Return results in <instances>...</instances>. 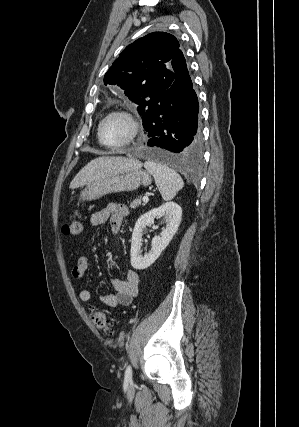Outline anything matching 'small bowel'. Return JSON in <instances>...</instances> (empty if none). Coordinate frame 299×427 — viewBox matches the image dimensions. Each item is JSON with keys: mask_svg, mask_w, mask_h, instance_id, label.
I'll return each mask as SVG.
<instances>
[{"mask_svg": "<svg viewBox=\"0 0 299 427\" xmlns=\"http://www.w3.org/2000/svg\"><path fill=\"white\" fill-rule=\"evenodd\" d=\"M129 214L128 208L123 204L109 203L105 208L95 212L91 216V224L103 225L109 221L112 233H118L123 219ZM89 267V258L81 256L72 268V276L75 279L84 277ZM140 277L134 270H129L124 279L112 276L110 283L116 290L114 294L100 295L99 300L108 307L128 305L137 296ZM83 303L90 304L92 293L89 289H82L79 294Z\"/></svg>", "mask_w": 299, "mask_h": 427, "instance_id": "c3829d8e", "label": "small bowel"}]
</instances>
